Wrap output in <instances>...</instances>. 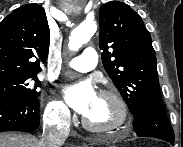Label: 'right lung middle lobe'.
<instances>
[{"instance_id":"obj_1","label":"right lung middle lobe","mask_w":183,"mask_h":147,"mask_svg":"<svg viewBox=\"0 0 183 147\" xmlns=\"http://www.w3.org/2000/svg\"><path fill=\"white\" fill-rule=\"evenodd\" d=\"M41 82L36 78V74L0 79V99L4 98H38L40 92L37 88Z\"/></svg>"}]
</instances>
